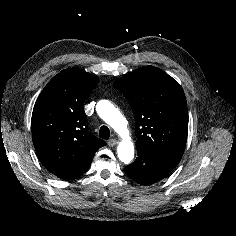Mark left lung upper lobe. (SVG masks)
<instances>
[{
    "instance_id": "left-lung-upper-lobe-1",
    "label": "left lung upper lobe",
    "mask_w": 236,
    "mask_h": 236,
    "mask_svg": "<svg viewBox=\"0 0 236 236\" xmlns=\"http://www.w3.org/2000/svg\"><path fill=\"white\" fill-rule=\"evenodd\" d=\"M135 115L137 150L180 161L188 134V111L181 86L163 70L144 66L115 81Z\"/></svg>"
}]
</instances>
